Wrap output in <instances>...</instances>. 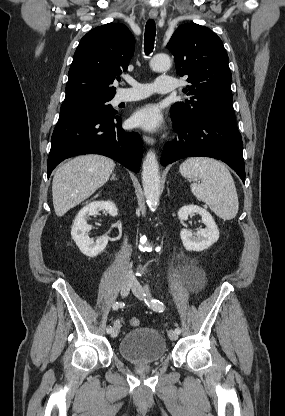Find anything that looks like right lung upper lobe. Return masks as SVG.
<instances>
[{
  "mask_svg": "<svg viewBox=\"0 0 285 416\" xmlns=\"http://www.w3.org/2000/svg\"><path fill=\"white\" fill-rule=\"evenodd\" d=\"M134 49L133 34L121 23L89 31L74 53L64 101L113 98L112 84L127 70Z\"/></svg>",
  "mask_w": 285,
  "mask_h": 416,
  "instance_id": "cb5924a9",
  "label": "right lung upper lobe"
}]
</instances>
